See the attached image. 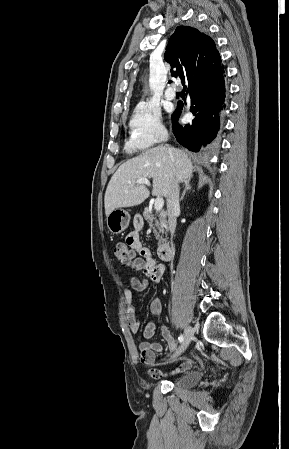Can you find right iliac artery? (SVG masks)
<instances>
[{"label":"right iliac artery","mask_w":289,"mask_h":449,"mask_svg":"<svg viewBox=\"0 0 289 449\" xmlns=\"http://www.w3.org/2000/svg\"><path fill=\"white\" fill-rule=\"evenodd\" d=\"M178 339H179L180 343L183 342V339H184L183 335H180Z\"/></svg>","instance_id":"right-iliac-artery-1"}]
</instances>
